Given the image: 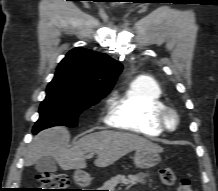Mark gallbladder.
<instances>
[{"label": "gallbladder", "instance_id": "obj_1", "mask_svg": "<svg viewBox=\"0 0 218 191\" xmlns=\"http://www.w3.org/2000/svg\"><path fill=\"white\" fill-rule=\"evenodd\" d=\"M35 169L40 172H55L57 165L53 157L45 155L35 162Z\"/></svg>", "mask_w": 218, "mask_h": 191}]
</instances>
